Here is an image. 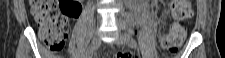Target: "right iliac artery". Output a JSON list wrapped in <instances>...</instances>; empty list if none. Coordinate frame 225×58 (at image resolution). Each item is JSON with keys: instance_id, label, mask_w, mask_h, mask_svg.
Here are the masks:
<instances>
[{"instance_id": "1", "label": "right iliac artery", "mask_w": 225, "mask_h": 58, "mask_svg": "<svg viewBox=\"0 0 225 58\" xmlns=\"http://www.w3.org/2000/svg\"><path fill=\"white\" fill-rule=\"evenodd\" d=\"M92 56L93 52L90 49H88L84 58H92Z\"/></svg>"}]
</instances>
